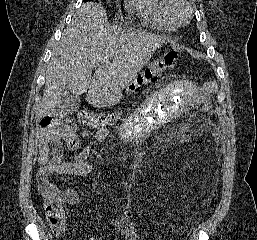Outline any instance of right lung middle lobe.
Listing matches in <instances>:
<instances>
[{
  "instance_id": "1",
  "label": "right lung middle lobe",
  "mask_w": 257,
  "mask_h": 240,
  "mask_svg": "<svg viewBox=\"0 0 257 240\" xmlns=\"http://www.w3.org/2000/svg\"><path fill=\"white\" fill-rule=\"evenodd\" d=\"M91 1V0H84V2Z\"/></svg>"
}]
</instances>
